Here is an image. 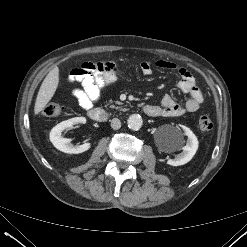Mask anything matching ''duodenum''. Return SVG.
Instances as JSON below:
<instances>
[{
    "label": "duodenum",
    "mask_w": 247,
    "mask_h": 247,
    "mask_svg": "<svg viewBox=\"0 0 247 247\" xmlns=\"http://www.w3.org/2000/svg\"><path fill=\"white\" fill-rule=\"evenodd\" d=\"M143 111L148 116H153L155 110L152 105H146L143 107ZM88 116L96 122H105L108 119V113L101 108H92L88 111Z\"/></svg>",
    "instance_id": "1"
}]
</instances>
